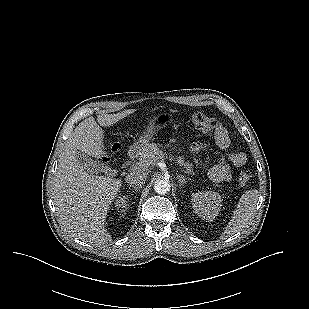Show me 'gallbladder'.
I'll return each instance as SVG.
<instances>
[{
    "label": "gallbladder",
    "instance_id": "bac80fb5",
    "mask_svg": "<svg viewBox=\"0 0 309 309\" xmlns=\"http://www.w3.org/2000/svg\"><path fill=\"white\" fill-rule=\"evenodd\" d=\"M76 159L78 164L89 173H100L102 171L107 172V170H105L101 164L92 160L82 151L76 152Z\"/></svg>",
    "mask_w": 309,
    "mask_h": 309
}]
</instances>
